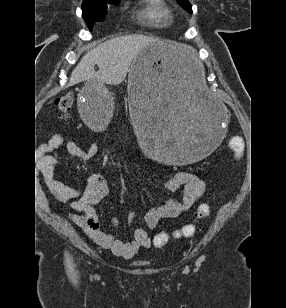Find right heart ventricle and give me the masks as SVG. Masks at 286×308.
<instances>
[{"instance_id":"e07e8e85","label":"right heart ventricle","mask_w":286,"mask_h":308,"mask_svg":"<svg viewBox=\"0 0 286 308\" xmlns=\"http://www.w3.org/2000/svg\"><path fill=\"white\" fill-rule=\"evenodd\" d=\"M135 13L141 23L157 28L170 26L174 19V13L166 0H141Z\"/></svg>"}]
</instances>
